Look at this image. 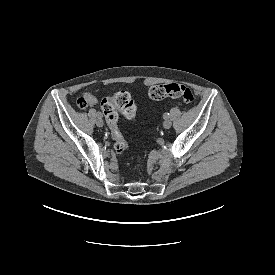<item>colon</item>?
<instances>
[{
	"mask_svg": "<svg viewBox=\"0 0 275 275\" xmlns=\"http://www.w3.org/2000/svg\"><path fill=\"white\" fill-rule=\"evenodd\" d=\"M148 95L153 100L181 98L187 104H192L194 101L191 89L180 83L154 85L150 88ZM101 109L108 124L115 151L122 154L127 151L128 143L117 126L119 111L126 119L133 121L137 117V107L127 91H119L113 98L102 100Z\"/></svg>",
	"mask_w": 275,
	"mask_h": 275,
	"instance_id": "1",
	"label": "colon"
}]
</instances>
